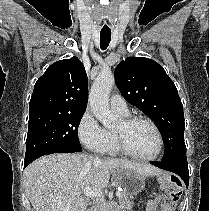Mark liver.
Segmentation results:
<instances>
[{"instance_id":"1","label":"liver","mask_w":209,"mask_h":211,"mask_svg":"<svg viewBox=\"0 0 209 211\" xmlns=\"http://www.w3.org/2000/svg\"><path fill=\"white\" fill-rule=\"evenodd\" d=\"M131 170L142 178L161 174L150 165L86 154L57 153L33 161L24 171L27 196L34 211H87L85 188H105L111 173L117 178L122 170Z\"/></svg>"}]
</instances>
